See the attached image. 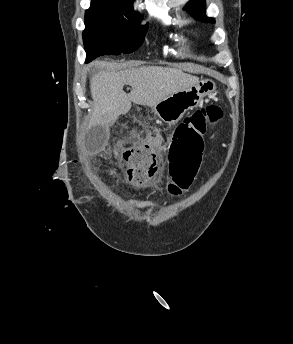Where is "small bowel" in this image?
I'll return each instance as SVG.
<instances>
[{
	"label": "small bowel",
	"instance_id": "obj_1",
	"mask_svg": "<svg viewBox=\"0 0 293 344\" xmlns=\"http://www.w3.org/2000/svg\"><path fill=\"white\" fill-rule=\"evenodd\" d=\"M143 137H144V136H143ZM145 138H147L148 140H150V141L153 143L154 147H155L157 150H159V151L164 150L165 145H164V142H163V140H162L161 137H159V136H149V137H145ZM154 169H155V164H154V167H153V169H152V171H151V174H152V175H153V173H154ZM148 205H149V204H148L147 202L143 201V202H141V203L138 204V207H139V208H146V207H148Z\"/></svg>",
	"mask_w": 293,
	"mask_h": 344
}]
</instances>
